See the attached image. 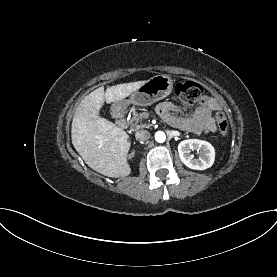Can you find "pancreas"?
<instances>
[{
    "label": "pancreas",
    "mask_w": 277,
    "mask_h": 277,
    "mask_svg": "<svg viewBox=\"0 0 277 277\" xmlns=\"http://www.w3.org/2000/svg\"><path fill=\"white\" fill-rule=\"evenodd\" d=\"M144 118V114H138L135 110L132 111V118L129 121V124L135 129H142V128H147V124L141 123V121Z\"/></svg>",
    "instance_id": "cf45deb5"
}]
</instances>
